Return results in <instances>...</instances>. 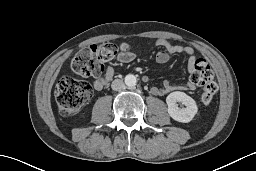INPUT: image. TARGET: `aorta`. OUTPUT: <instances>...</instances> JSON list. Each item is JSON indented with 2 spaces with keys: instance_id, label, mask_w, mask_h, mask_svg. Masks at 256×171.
<instances>
[{
  "instance_id": "762f6f07",
  "label": "aorta",
  "mask_w": 256,
  "mask_h": 171,
  "mask_svg": "<svg viewBox=\"0 0 256 171\" xmlns=\"http://www.w3.org/2000/svg\"><path fill=\"white\" fill-rule=\"evenodd\" d=\"M125 84L128 86V87H134L136 84H137V78L135 75L133 74H128L126 75L125 77Z\"/></svg>"
}]
</instances>
